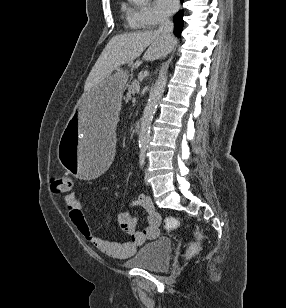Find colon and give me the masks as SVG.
Instances as JSON below:
<instances>
[{
  "mask_svg": "<svg viewBox=\"0 0 286 308\" xmlns=\"http://www.w3.org/2000/svg\"><path fill=\"white\" fill-rule=\"evenodd\" d=\"M73 181L68 176H57L52 179L51 182V189L54 194L61 195V194H70L73 191ZM179 222L176 219H170L168 221L169 227H176ZM202 239V236H198V242ZM196 245L191 247V251H194Z\"/></svg>",
  "mask_w": 286,
  "mask_h": 308,
  "instance_id": "colon-1",
  "label": "colon"
}]
</instances>
